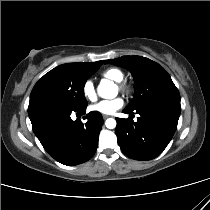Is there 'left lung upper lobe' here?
Instances as JSON below:
<instances>
[{"label":"left lung upper lobe","mask_w":210,"mask_h":210,"mask_svg":"<svg viewBox=\"0 0 210 210\" xmlns=\"http://www.w3.org/2000/svg\"><path fill=\"white\" fill-rule=\"evenodd\" d=\"M105 63L128 69L134 77L135 94L127 109L135 110L157 101L179 102L180 94L171 77L158 63L141 56H122Z\"/></svg>","instance_id":"left-lung-upper-lobe-1"}]
</instances>
